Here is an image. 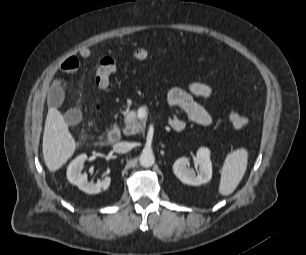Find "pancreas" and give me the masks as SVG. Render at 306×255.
<instances>
[{"instance_id": "pancreas-1", "label": "pancreas", "mask_w": 306, "mask_h": 255, "mask_svg": "<svg viewBox=\"0 0 306 255\" xmlns=\"http://www.w3.org/2000/svg\"><path fill=\"white\" fill-rule=\"evenodd\" d=\"M124 124L123 133L125 135H134L144 132L145 129V120L138 119L136 110L127 111L125 113Z\"/></svg>"}]
</instances>
